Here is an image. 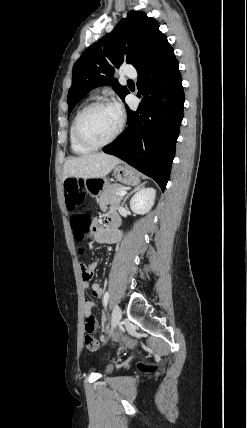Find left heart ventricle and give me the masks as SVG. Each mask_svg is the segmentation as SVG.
<instances>
[{
	"label": "left heart ventricle",
	"mask_w": 247,
	"mask_h": 428,
	"mask_svg": "<svg viewBox=\"0 0 247 428\" xmlns=\"http://www.w3.org/2000/svg\"><path fill=\"white\" fill-rule=\"evenodd\" d=\"M118 118L111 107H100L89 112L83 119L81 131L85 138L101 143L115 131Z\"/></svg>",
	"instance_id": "b2bd125f"
}]
</instances>
